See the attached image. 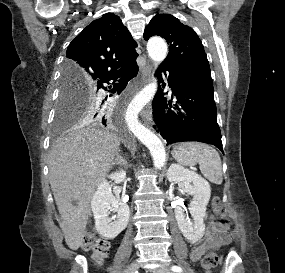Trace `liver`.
<instances>
[{"label":"liver","instance_id":"liver-1","mask_svg":"<svg viewBox=\"0 0 285 273\" xmlns=\"http://www.w3.org/2000/svg\"><path fill=\"white\" fill-rule=\"evenodd\" d=\"M59 138L49 154V180L61 215L60 227L71 250L83 242L90 202L96 188L107 177L120 139L107 130L85 123ZM75 202V204L73 203Z\"/></svg>","mask_w":285,"mask_h":273}]
</instances>
